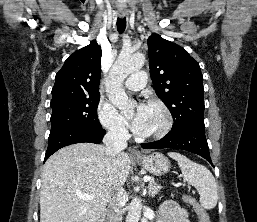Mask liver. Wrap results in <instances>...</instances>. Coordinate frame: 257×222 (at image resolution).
<instances>
[{
	"label": "liver",
	"instance_id": "obj_1",
	"mask_svg": "<svg viewBox=\"0 0 257 222\" xmlns=\"http://www.w3.org/2000/svg\"><path fill=\"white\" fill-rule=\"evenodd\" d=\"M130 159H113L105 147L77 143L54 153L45 163L40 191V222H98L109 201L126 182ZM95 194L92 200L79 197Z\"/></svg>",
	"mask_w": 257,
	"mask_h": 222
}]
</instances>
